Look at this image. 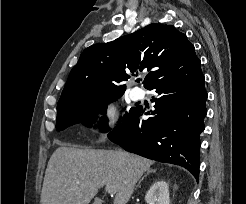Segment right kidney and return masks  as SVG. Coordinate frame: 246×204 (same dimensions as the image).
Segmentation results:
<instances>
[{
	"instance_id": "obj_1",
	"label": "right kidney",
	"mask_w": 246,
	"mask_h": 204,
	"mask_svg": "<svg viewBox=\"0 0 246 204\" xmlns=\"http://www.w3.org/2000/svg\"><path fill=\"white\" fill-rule=\"evenodd\" d=\"M147 204H170L169 186L164 181L155 182L145 196Z\"/></svg>"
}]
</instances>
